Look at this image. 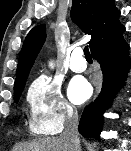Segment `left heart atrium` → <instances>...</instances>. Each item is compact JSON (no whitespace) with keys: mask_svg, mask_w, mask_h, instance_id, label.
<instances>
[{"mask_svg":"<svg viewBox=\"0 0 131 151\" xmlns=\"http://www.w3.org/2000/svg\"><path fill=\"white\" fill-rule=\"evenodd\" d=\"M68 95L73 103L81 104L90 97L91 86L84 78L76 77L68 86Z\"/></svg>","mask_w":131,"mask_h":151,"instance_id":"1","label":"left heart atrium"}]
</instances>
